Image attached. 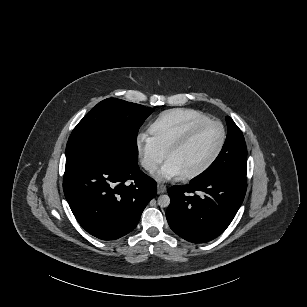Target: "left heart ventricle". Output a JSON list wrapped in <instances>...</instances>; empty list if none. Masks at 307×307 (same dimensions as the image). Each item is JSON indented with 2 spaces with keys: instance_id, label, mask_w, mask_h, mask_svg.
Here are the masks:
<instances>
[{
  "instance_id": "b2bd125f",
  "label": "left heart ventricle",
  "mask_w": 307,
  "mask_h": 307,
  "mask_svg": "<svg viewBox=\"0 0 307 307\" xmlns=\"http://www.w3.org/2000/svg\"><path fill=\"white\" fill-rule=\"evenodd\" d=\"M223 139V128L214 124L204 129L188 146L172 154L169 162L182 175L203 166L217 151Z\"/></svg>"
}]
</instances>
